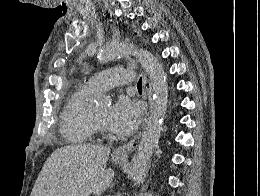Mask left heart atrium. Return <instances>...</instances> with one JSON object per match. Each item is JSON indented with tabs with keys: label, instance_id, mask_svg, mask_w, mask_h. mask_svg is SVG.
<instances>
[{
	"label": "left heart atrium",
	"instance_id": "39dd6f15",
	"mask_svg": "<svg viewBox=\"0 0 260 196\" xmlns=\"http://www.w3.org/2000/svg\"><path fill=\"white\" fill-rule=\"evenodd\" d=\"M140 120V106L127 97H120L110 109L107 123L112 131L128 135L138 126Z\"/></svg>",
	"mask_w": 260,
	"mask_h": 196
}]
</instances>
